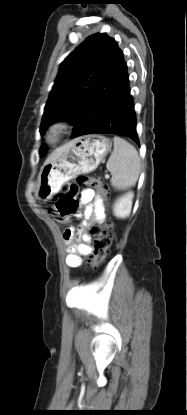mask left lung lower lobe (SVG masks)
Here are the masks:
<instances>
[{
  "label": "left lung lower lobe",
  "mask_w": 187,
  "mask_h": 415,
  "mask_svg": "<svg viewBox=\"0 0 187 415\" xmlns=\"http://www.w3.org/2000/svg\"><path fill=\"white\" fill-rule=\"evenodd\" d=\"M90 101L99 102L98 110L92 116L86 115L75 126L72 138L108 133L126 136L139 144L127 65L117 45L95 83Z\"/></svg>",
  "instance_id": "left-lung-lower-lobe-1"
}]
</instances>
